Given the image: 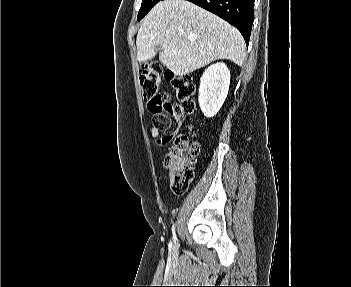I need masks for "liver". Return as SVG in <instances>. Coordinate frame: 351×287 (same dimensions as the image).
I'll list each match as a JSON object with an SVG mask.
<instances>
[{
	"label": "liver",
	"mask_w": 351,
	"mask_h": 287,
	"mask_svg": "<svg viewBox=\"0 0 351 287\" xmlns=\"http://www.w3.org/2000/svg\"><path fill=\"white\" fill-rule=\"evenodd\" d=\"M136 45L140 63L159 51L160 62L177 76L217 59L241 66L246 57L244 39L235 27L186 0L156 4L138 30Z\"/></svg>",
	"instance_id": "1"
}]
</instances>
